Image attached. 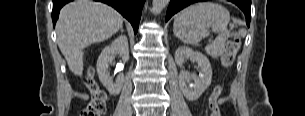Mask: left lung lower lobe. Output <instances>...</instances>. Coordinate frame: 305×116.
Listing matches in <instances>:
<instances>
[{
  "label": "left lung lower lobe",
  "instance_id": "0a47b994",
  "mask_svg": "<svg viewBox=\"0 0 305 116\" xmlns=\"http://www.w3.org/2000/svg\"><path fill=\"white\" fill-rule=\"evenodd\" d=\"M202 0H171L168 9H167V16L166 21L170 19L172 15L180 11L181 9L187 7L188 5L200 2ZM234 4H236L245 14L246 22L249 26L251 14H250V7H251V0H231Z\"/></svg>",
  "mask_w": 305,
  "mask_h": 116
}]
</instances>
